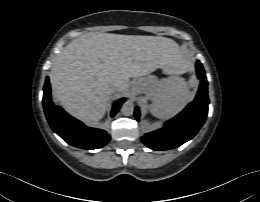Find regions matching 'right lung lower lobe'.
I'll use <instances>...</instances> for the list:
<instances>
[{"mask_svg": "<svg viewBox=\"0 0 260 202\" xmlns=\"http://www.w3.org/2000/svg\"><path fill=\"white\" fill-rule=\"evenodd\" d=\"M50 83L48 77L45 81L43 106L46 118L55 133H57L68 144L87 150L103 147L110 140L106 131L86 127L82 122L68 115L62 108L53 104L50 94ZM125 98L114 103L111 116L113 117L120 109Z\"/></svg>", "mask_w": 260, "mask_h": 202, "instance_id": "obj_1", "label": "right lung lower lobe"}]
</instances>
